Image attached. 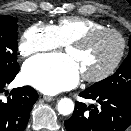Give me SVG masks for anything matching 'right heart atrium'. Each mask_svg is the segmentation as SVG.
Segmentation results:
<instances>
[{
	"label": "right heart atrium",
	"mask_w": 131,
	"mask_h": 131,
	"mask_svg": "<svg viewBox=\"0 0 131 131\" xmlns=\"http://www.w3.org/2000/svg\"><path fill=\"white\" fill-rule=\"evenodd\" d=\"M56 30L43 23L30 25L23 33L18 50L21 56L27 57L39 52H46L60 46Z\"/></svg>",
	"instance_id": "right-heart-atrium-1"
}]
</instances>
